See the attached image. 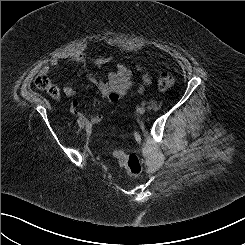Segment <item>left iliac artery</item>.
Masks as SVG:
<instances>
[{
	"mask_svg": "<svg viewBox=\"0 0 245 245\" xmlns=\"http://www.w3.org/2000/svg\"><path fill=\"white\" fill-rule=\"evenodd\" d=\"M141 104H142L143 106H144V105H146V103H145V102H142Z\"/></svg>",
	"mask_w": 245,
	"mask_h": 245,
	"instance_id": "1",
	"label": "left iliac artery"
}]
</instances>
